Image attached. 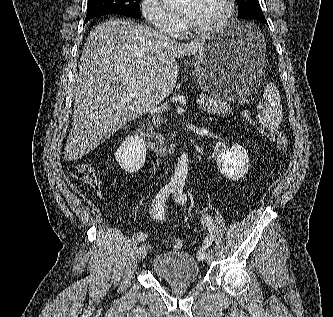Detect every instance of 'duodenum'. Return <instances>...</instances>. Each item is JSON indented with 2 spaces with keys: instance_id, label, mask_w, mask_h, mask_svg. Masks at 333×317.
Instances as JSON below:
<instances>
[{
  "instance_id": "obj_1",
  "label": "duodenum",
  "mask_w": 333,
  "mask_h": 317,
  "mask_svg": "<svg viewBox=\"0 0 333 317\" xmlns=\"http://www.w3.org/2000/svg\"><path fill=\"white\" fill-rule=\"evenodd\" d=\"M134 135L141 139L144 144L152 151L159 155H165L167 151V144L163 136L151 131L136 129Z\"/></svg>"
}]
</instances>
